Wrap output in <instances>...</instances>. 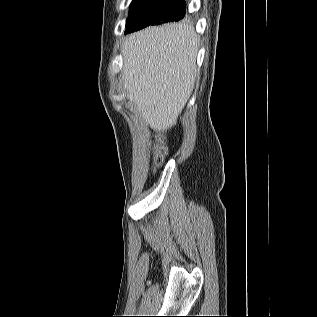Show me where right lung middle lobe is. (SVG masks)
Wrapping results in <instances>:
<instances>
[{"label": "right lung middle lobe", "instance_id": "right-lung-middle-lobe-1", "mask_svg": "<svg viewBox=\"0 0 317 317\" xmlns=\"http://www.w3.org/2000/svg\"><path fill=\"white\" fill-rule=\"evenodd\" d=\"M184 16L185 3L180 0H133L125 34L149 25L179 21Z\"/></svg>", "mask_w": 317, "mask_h": 317}]
</instances>
